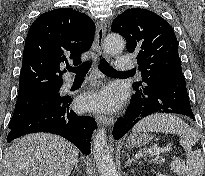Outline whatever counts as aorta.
<instances>
[{
    "label": "aorta",
    "mask_w": 205,
    "mask_h": 176,
    "mask_svg": "<svg viewBox=\"0 0 205 176\" xmlns=\"http://www.w3.org/2000/svg\"><path fill=\"white\" fill-rule=\"evenodd\" d=\"M107 53L118 55L125 47V41L119 34H108L104 41ZM93 154L100 176H117L116 166L107 144L106 131L100 129L93 139Z\"/></svg>",
    "instance_id": "aorta-1"
}]
</instances>
